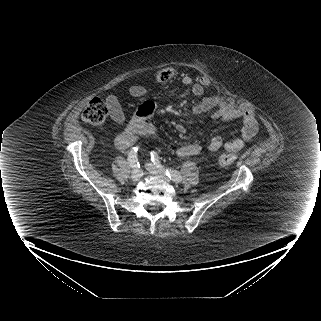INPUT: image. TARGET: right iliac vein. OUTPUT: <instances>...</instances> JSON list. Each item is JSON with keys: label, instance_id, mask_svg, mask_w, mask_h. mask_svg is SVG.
Returning a JSON list of instances; mask_svg holds the SVG:
<instances>
[{"label": "right iliac vein", "instance_id": "1", "mask_svg": "<svg viewBox=\"0 0 321 321\" xmlns=\"http://www.w3.org/2000/svg\"><path fill=\"white\" fill-rule=\"evenodd\" d=\"M143 175V172L140 168H137L134 170L131 174V178L133 181H139Z\"/></svg>", "mask_w": 321, "mask_h": 321}]
</instances>
